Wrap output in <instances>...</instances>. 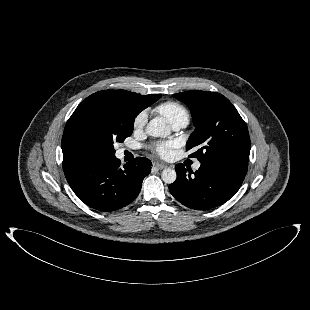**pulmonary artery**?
Segmentation results:
<instances>
[{"label":"pulmonary artery","instance_id":"obj_1","mask_svg":"<svg viewBox=\"0 0 310 310\" xmlns=\"http://www.w3.org/2000/svg\"><path fill=\"white\" fill-rule=\"evenodd\" d=\"M187 125L186 122L179 121L172 124V128L175 130L181 129ZM201 164L200 162H196L193 166L194 170H198L200 168Z\"/></svg>","mask_w":310,"mask_h":310}]
</instances>
